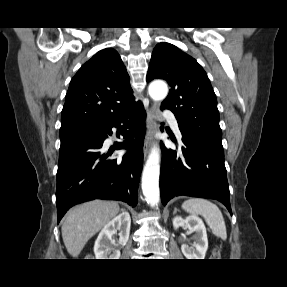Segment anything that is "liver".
<instances>
[{
	"label": "liver",
	"mask_w": 287,
	"mask_h": 287,
	"mask_svg": "<svg viewBox=\"0 0 287 287\" xmlns=\"http://www.w3.org/2000/svg\"><path fill=\"white\" fill-rule=\"evenodd\" d=\"M120 211L112 201L94 200L67 212L62 225V238L68 253L78 257L87 241Z\"/></svg>",
	"instance_id": "6515ba94"
}]
</instances>
